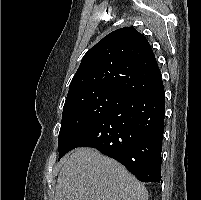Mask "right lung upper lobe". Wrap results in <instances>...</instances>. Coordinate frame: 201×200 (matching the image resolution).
<instances>
[{
	"label": "right lung upper lobe",
	"mask_w": 201,
	"mask_h": 200,
	"mask_svg": "<svg viewBox=\"0 0 201 200\" xmlns=\"http://www.w3.org/2000/svg\"><path fill=\"white\" fill-rule=\"evenodd\" d=\"M162 81L147 39L133 27L115 30L82 58L67 94L109 90L128 97Z\"/></svg>",
	"instance_id": "1"
}]
</instances>
